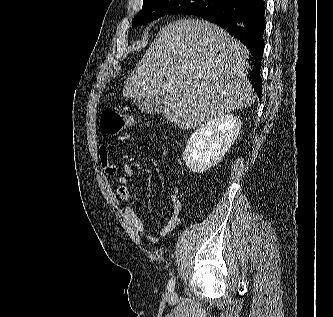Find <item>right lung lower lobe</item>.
<instances>
[{
    "label": "right lung lower lobe",
    "instance_id": "right-lung-lower-lobe-1",
    "mask_svg": "<svg viewBox=\"0 0 333 317\" xmlns=\"http://www.w3.org/2000/svg\"><path fill=\"white\" fill-rule=\"evenodd\" d=\"M209 22L226 29L251 52L252 85L261 99V60L264 50L265 2L264 0H229L222 6L197 14Z\"/></svg>",
    "mask_w": 333,
    "mask_h": 317
}]
</instances>
